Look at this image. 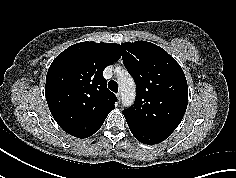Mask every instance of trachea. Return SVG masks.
<instances>
[{"label": "trachea", "instance_id": "3493384b", "mask_svg": "<svg viewBox=\"0 0 236 178\" xmlns=\"http://www.w3.org/2000/svg\"><path fill=\"white\" fill-rule=\"evenodd\" d=\"M108 88L112 91L117 93L118 92V84L116 81L111 80L108 82Z\"/></svg>", "mask_w": 236, "mask_h": 178}]
</instances>
